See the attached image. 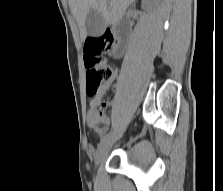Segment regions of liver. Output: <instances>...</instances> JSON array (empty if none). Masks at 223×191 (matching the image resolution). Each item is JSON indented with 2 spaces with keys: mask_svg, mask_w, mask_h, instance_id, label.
Segmentation results:
<instances>
[{
  "mask_svg": "<svg viewBox=\"0 0 223 191\" xmlns=\"http://www.w3.org/2000/svg\"><path fill=\"white\" fill-rule=\"evenodd\" d=\"M135 0H69L70 10L76 19L82 39L87 36L85 20L90 10L102 14L105 22L110 25L119 21L129 5Z\"/></svg>",
  "mask_w": 223,
  "mask_h": 191,
  "instance_id": "6515ba94",
  "label": "liver"
}]
</instances>
